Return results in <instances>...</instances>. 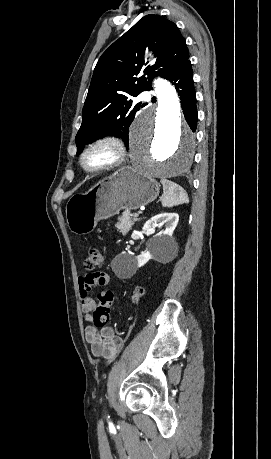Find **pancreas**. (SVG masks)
Here are the masks:
<instances>
[{"instance_id": "cf45deb5", "label": "pancreas", "mask_w": 271, "mask_h": 459, "mask_svg": "<svg viewBox=\"0 0 271 459\" xmlns=\"http://www.w3.org/2000/svg\"><path fill=\"white\" fill-rule=\"evenodd\" d=\"M133 215L134 214H130L129 210H125V212H122V216L118 218L116 228H118V231H121L123 235L132 228L134 222H137L138 216L134 217Z\"/></svg>"}]
</instances>
